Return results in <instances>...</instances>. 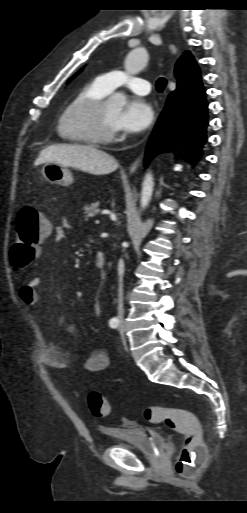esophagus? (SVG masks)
<instances>
[{"label":"esophagus","mask_w":247,"mask_h":513,"mask_svg":"<svg viewBox=\"0 0 247 513\" xmlns=\"http://www.w3.org/2000/svg\"><path fill=\"white\" fill-rule=\"evenodd\" d=\"M139 161H140V157L137 158L130 166L129 168V173H134L136 170H137V167H138V164H139Z\"/></svg>","instance_id":"34e87169"}]
</instances>
